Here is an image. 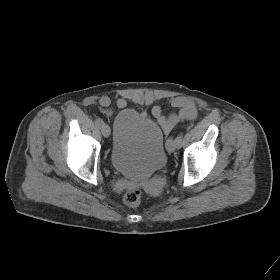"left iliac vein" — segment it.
<instances>
[{
	"label": "left iliac vein",
	"mask_w": 280,
	"mask_h": 280,
	"mask_svg": "<svg viewBox=\"0 0 280 280\" xmlns=\"http://www.w3.org/2000/svg\"><path fill=\"white\" fill-rule=\"evenodd\" d=\"M178 144L176 142V139L174 140L173 138H170L168 141H167V145H166V148H167V151L172 153L175 151V149L177 148Z\"/></svg>",
	"instance_id": "left-iliac-vein-1"
}]
</instances>
